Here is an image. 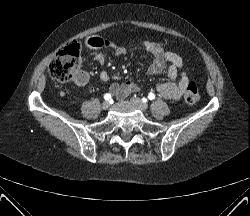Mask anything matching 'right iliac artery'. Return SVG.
Masks as SVG:
<instances>
[{"label":"right iliac artery","instance_id":"obj_1","mask_svg":"<svg viewBox=\"0 0 250 216\" xmlns=\"http://www.w3.org/2000/svg\"><path fill=\"white\" fill-rule=\"evenodd\" d=\"M104 99L105 100H110L111 99V94H105Z\"/></svg>","mask_w":250,"mask_h":216}]
</instances>
